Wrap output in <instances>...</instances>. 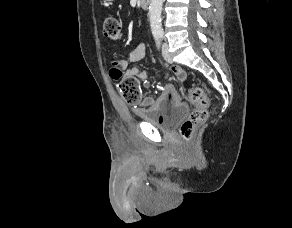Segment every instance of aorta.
<instances>
[{
	"instance_id": "1",
	"label": "aorta",
	"mask_w": 292,
	"mask_h": 228,
	"mask_svg": "<svg viewBox=\"0 0 292 228\" xmlns=\"http://www.w3.org/2000/svg\"><path fill=\"white\" fill-rule=\"evenodd\" d=\"M164 0H151L149 6L150 26L153 33L162 31L161 27V12Z\"/></svg>"
}]
</instances>
